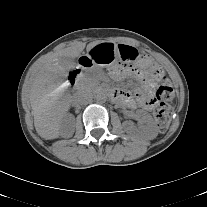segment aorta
<instances>
[{
	"label": "aorta",
	"instance_id": "1",
	"mask_svg": "<svg viewBox=\"0 0 207 207\" xmlns=\"http://www.w3.org/2000/svg\"><path fill=\"white\" fill-rule=\"evenodd\" d=\"M95 99L98 103H105L107 101V94L103 91H100L96 94Z\"/></svg>",
	"mask_w": 207,
	"mask_h": 207
}]
</instances>
